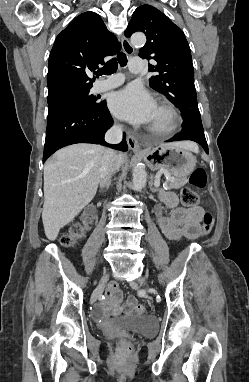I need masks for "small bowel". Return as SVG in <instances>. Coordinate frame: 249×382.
I'll return each instance as SVG.
<instances>
[{
	"mask_svg": "<svg viewBox=\"0 0 249 382\" xmlns=\"http://www.w3.org/2000/svg\"><path fill=\"white\" fill-rule=\"evenodd\" d=\"M162 200L171 209L170 215H160L158 217L159 227L166 237L173 240L180 238L197 239L200 237V221L203 217L201 207L179 206L176 196L171 193L164 194ZM106 295L105 299L98 305V310L102 313L115 309L119 303L121 293L118 284L111 283L106 290ZM135 305V298L130 297L125 310L130 312Z\"/></svg>",
	"mask_w": 249,
	"mask_h": 382,
	"instance_id": "obj_1",
	"label": "small bowel"
}]
</instances>
